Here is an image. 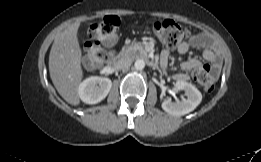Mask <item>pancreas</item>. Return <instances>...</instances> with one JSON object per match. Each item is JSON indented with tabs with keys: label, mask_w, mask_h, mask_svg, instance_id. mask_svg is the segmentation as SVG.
<instances>
[{
	"label": "pancreas",
	"mask_w": 261,
	"mask_h": 162,
	"mask_svg": "<svg viewBox=\"0 0 261 162\" xmlns=\"http://www.w3.org/2000/svg\"><path fill=\"white\" fill-rule=\"evenodd\" d=\"M137 52L145 53L144 47L140 42L133 41L130 44L124 46L120 52V57H131Z\"/></svg>",
	"instance_id": "pancreas-1"
}]
</instances>
